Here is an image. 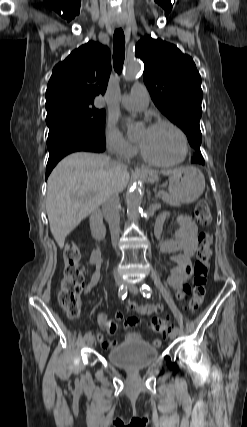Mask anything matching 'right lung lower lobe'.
I'll return each instance as SVG.
<instances>
[{
	"instance_id": "right-lung-lower-lobe-1",
	"label": "right lung lower lobe",
	"mask_w": 247,
	"mask_h": 427,
	"mask_svg": "<svg viewBox=\"0 0 247 427\" xmlns=\"http://www.w3.org/2000/svg\"><path fill=\"white\" fill-rule=\"evenodd\" d=\"M47 147L49 159L46 166V179L58 161L72 152H103L105 150V144L81 132L65 127L49 128Z\"/></svg>"
}]
</instances>
